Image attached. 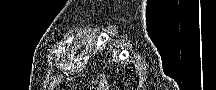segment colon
Here are the masks:
<instances>
[{"label": "colon", "mask_w": 216, "mask_h": 90, "mask_svg": "<svg viewBox=\"0 0 216 90\" xmlns=\"http://www.w3.org/2000/svg\"><path fill=\"white\" fill-rule=\"evenodd\" d=\"M91 90H109L107 78L103 74H100L97 81L92 85Z\"/></svg>", "instance_id": "colon-1"}]
</instances>
